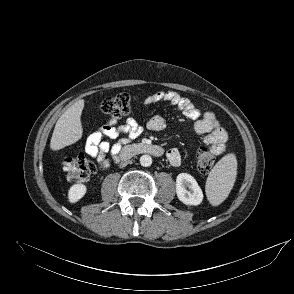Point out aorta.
<instances>
[{"label": "aorta", "instance_id": "762f6f07", "mask_svg": "<svg viewBox=\"0 0 294 294\" xmlns=\"http://www.w3.org/2000/svg\"><path fill=\"white\" fill-rule=\"evenodd\" d=\"M140 164L143 166V167H149L151 166L152 164V158L150 155H142L140 157Z\"/></svg>", "mask_w": 294, "mask_h": 294}]
</instances>
